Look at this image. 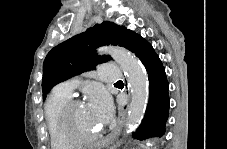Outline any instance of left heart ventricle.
Here are the masks:
<instances>
[{
    "label": "left heart ventricle",
    "mask_w": 227,
    "mask_h": 149,
    "mask_svg": "<svg viewBox=\"0 0 227 149\" xmlns=\"http://www.w3.org/2000/svg\"><path fill=\"white\" fill-rule=\"evenodd\" d=\"M71 128L78 135L91 136L99 131L100 123L93 109L81 105L73 112Z\"/></svg>",
    "instance_id": "left-heart-ventricle-1"
}]
</instances>
